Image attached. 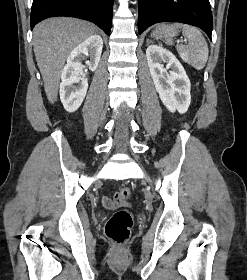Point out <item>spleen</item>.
I'll return each instance as SVG.
<instances>
[{
	"instance_id": "spleen-1",
	"label": "spleen",
	"mask_w": 247,
	"mask_h": 280,
	"mask_svg": "<svg viewBox=\"0 0 247 280\" xmlns=\"http://www.w3.org/2000/svg\"><path fill=\"white\" fill-rule=\"evenodd\" d=\"M172 26L182 28L183 35L188 39V45L176 46L182 60L197 70L203 69L208 60L209 50L202 33L197 28L187 24L176 23ZM167 42L172 44L170 39Z\"/></svg>"
}]
</instances>
